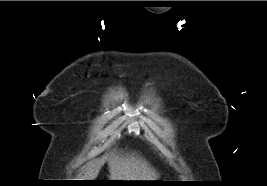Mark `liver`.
<instances>
[{
	"instance_id": "1",
	"label": "liver",
	"mask_w": 267,
	"mask_h": 186,
	"mask_svg": "<svg viewBox=\"0 0 267 186\" xmlns=\"http://www.w3.org/2000/svg\"><path fill=\"white\" fill-rule=\"evenodd\" d=\"M108 162L111 180L124 181H153L159 176L154 169L142 158L134 155L111 153L96 160L88 166L85 178L94 180L105 162Z\"/></svg>"
}]
</instances>
